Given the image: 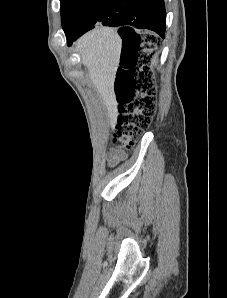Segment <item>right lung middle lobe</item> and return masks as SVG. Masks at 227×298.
<instances>
[{"label": "right lung middle lobe", "instance_id": "right-lung-middle-lobe-1", "mask_svg": "<svg viewBox=\"0 0 227 298\" xmlns=\"http://www.w3.org/2000/svg\"><path fill=\"white\" fill-rule=\"evenodd\" d=\"M65 34L77 31L107 0H60Z\"/></svg>", "mask_w": 227, "mask_h": 298}]
</instances>
